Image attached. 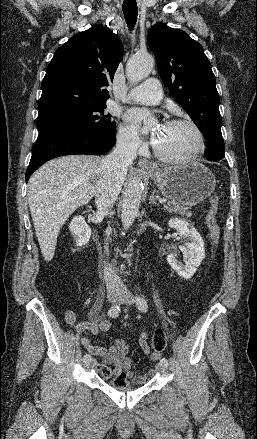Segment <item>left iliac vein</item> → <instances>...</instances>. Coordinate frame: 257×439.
I'll return each instance as SVG.
<instances>
[{"mask_svg":"<svg viewBox=\"0 0 257 439\" xmlns=\"http://www.w3.org/2000/svg\"><path fill=\"white\" fill-rule=\"evenodd\" d=\"M119 302L121 304L130 305L134 302V297L132 296V294L128 290H124L120 293ZM166 368H167V365H163V364H159L157 366V370L160 371L161 373H165Z\"/></svg>","mask_w":257,"mask_h":439,"instance_id":"obj_1","label":"left iliac vein"}]
</instances>
